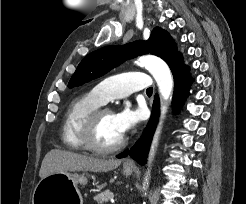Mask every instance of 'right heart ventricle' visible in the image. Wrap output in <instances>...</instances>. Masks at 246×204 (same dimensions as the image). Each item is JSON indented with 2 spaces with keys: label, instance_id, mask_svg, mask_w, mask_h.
<instances>
[{
  "label": "right heart ventricle",
  "instance_id": "right-heart-ventricle-1",
  "mask_svg": "<svg viewBox=\"0 0 246 204\" xmlns=\"http://www.w3.org/2000/svg\"><path fill=\"white\" fill-rule=\"evenodd\" d=\"M102 104L90 92L76 98L69 106L62 125L63 144L76 151L86 149L81 141L80 131L88 115Z\"/></svg>",
  "mask_w": 246,
  "mask_h": 204
}]
</instances>
